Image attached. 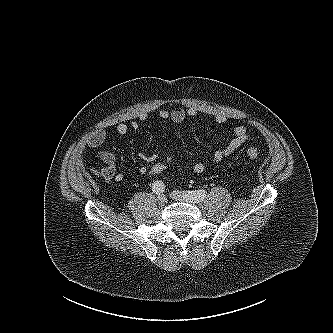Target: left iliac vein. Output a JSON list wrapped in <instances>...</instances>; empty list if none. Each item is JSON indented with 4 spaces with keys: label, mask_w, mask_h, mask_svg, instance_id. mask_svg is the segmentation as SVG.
Segmentation results:
<instances>
[{
    "label": "left iliac vein",
    "mask_w": 333,
    "mask_h": 333,
    "mask_svg": "<svg viewBox=\"0 0 333 333\" xmlns=\"http://www.w3.org/2000/svg\"><path fill=\"white\" fill-rule=\"evenodd\" d=\"M170 197L176 201H184V202H188V203H194L190 197L188 196V194L184 191H173L170 193Z\"/></svg>",
    "instance_id": "obj_1"
}]
</instances>
